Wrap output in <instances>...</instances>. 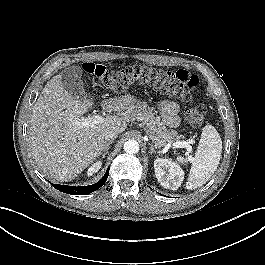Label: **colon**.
<instances>
[{
    "label": "colon",
    "mask_w": 265,
    "mask_h": 265,
    "mask_svg": "<svg viewBox=\"0 0 265 265\" xmlns=\"http://www.w3.org/2000/svg\"><path fill=\"white\" fill-rule=\"evenodd\" d=\"M84 71L98 79L103 85L115 92H122L131 85L139 83L153 86L161 92L191 102L197 93L199 79L188 71L164 70L149 65H130L111 70L104 65L85 63ZM207 108L204 104H194L186 110V119L192 126L203 124Z\"/></svg>",
    "instance_id": "1"
}]
</instances>
